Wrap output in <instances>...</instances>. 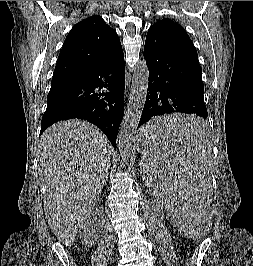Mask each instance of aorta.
<instances>
[{"label":"aorta","instance_id":"1","mask_svg":"<svg viewBox=\"0 0 253 266\" xmlns=\"http://www.w3.org/2000/svg\"><path fill=\"white\" fill-rule=\"evenodd\" d=\"M148 80V67L145 61H141L134 68L129 104L118 135L119 153L124 161L132 154L135 134L146 101Z\"/></svg>","mask_w":253,"mask_h":266}]
</instances>
